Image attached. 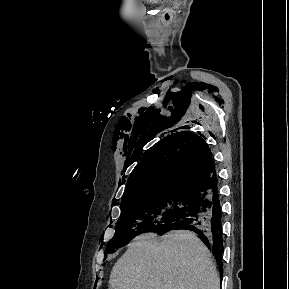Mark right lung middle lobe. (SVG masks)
Returning a JSON list of instances; mask_svg holds the SVG:
<instances>
[{
	"label": "right lung middle lobe",
	"instance_id": "obj_1",
	"mask_svg": "<svg viewBox=\"0 0 289 289\" xmlns=\"http://www.w3.org/2000/svg\"><path fill=\"white\" fill-rule=\"evenodd\" d=\"M197 195L188 192H166L134 197L121 202V215L114 237L105 254L127 244L145 231H157L182 218L196 203Z\"/></svg>",
	"mask_w": 289,
	"mask_h": 289
}]
</instances>
